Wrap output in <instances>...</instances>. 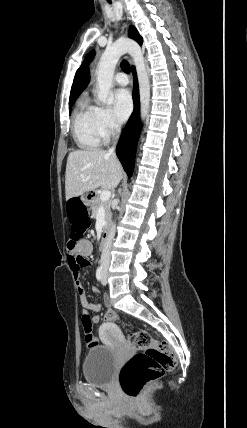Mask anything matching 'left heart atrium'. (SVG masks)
Masks as SVG:
<instances>
[{
	"label": "left heart atrium",
	"instance_id": "1",
	"mask_svg": "<svg viewBox=\"0 0 247 428\" xmlns=\"http://www.w3.org/2000/svg\"><path fill=\"white\" fill-rule=\"evenodd\" d=\"M132 99L130 93L125 89H119L113 94V114L115 118L123 122L132 111Z\"/></svg>",
	"mask_w": 247,
	"mask_h": 428
}]
</instances>
